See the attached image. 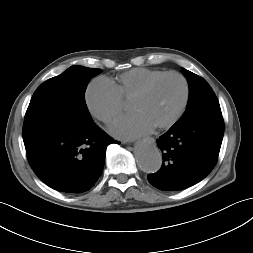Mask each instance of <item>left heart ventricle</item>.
Here are the masks:
<instances>
[{"instance_id": "b2bd125f", "label": "left heart ventricle", "mask_w": 253, "mask_h": 253, "mask_svg": "<svg viewBox=\"0 0 253 253\" xmlns=\"http://www.w3.org/2000/svg\"><path fill=\"white\" fill-rule=\"evenodd\" d=\"M184 88L177 77H167L158 82L143 98L134 100L130 110L145 116L154 126L167 122L178 111Z\"/></svg>"}]
</instances>
